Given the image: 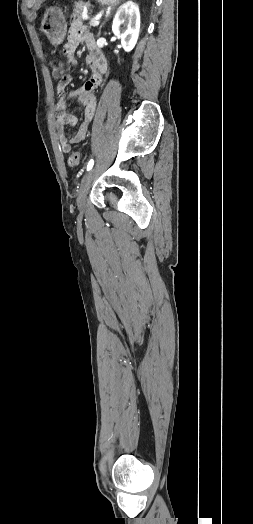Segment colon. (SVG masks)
<instances>
[{
  "label": "colon",
  "instance_id": "colon-1",
  "mask_svg": "<svg viewBox=\"0 0 253 524\" xmlns=\"http://www.w3.org/2000/svg\"><path fill=\"white\" fill-rule=\"evenodd\" d=\"M50 68L52 77L61 81V75L67 73L69 69L63 59L54 58L50 61ZM68 166L71 168L77 167L81 163V154L77 151H72L67 159Z\"/></svg>",
  "mask_w": 253,
  "mask_h": 524
}]
</instances>
